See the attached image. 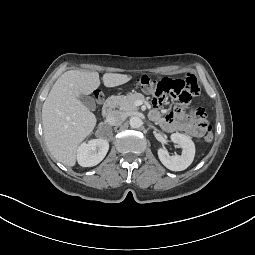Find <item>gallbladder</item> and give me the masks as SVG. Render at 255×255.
Returning <instances> with one entry per match:
<instances>
[{
    "instance_id": "gallbladder-1",
    "label": "gallbladder",
    "mask_w": 255,
    "mask_h": 255,
    "mask_svg": "<svg viewBox=\"0 0 255 255\" xmlns=\"http://www.w3.org/2000/svg\"><path fill=\"white\" fill-rule=\"evenodd\" d=\"M78 99L89 110H91V111H95L96 110V103H95V100L92 97L86 96V95H81V96L78 97Z\"/></svg>"
}]
</instances>
